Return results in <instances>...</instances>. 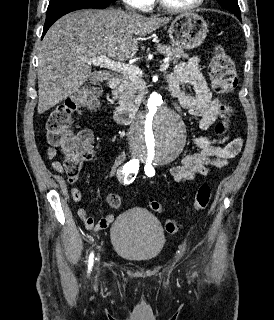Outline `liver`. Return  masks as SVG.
Listing matches in <instances>:
<instances>
[{"label": "liver", "mask_w": 274, "mask_h": 320, "mask_svg": "<svg viewBox=\"0 0 274 320\" xmlns=\"http://www.w3.org/2000/svg\"><path fill=\"white\" fill-rule=\"evenodd\" d=\"M171 18L134 16L118 8L78 10L60 18L49 28L38 50V114L47 112L77 92L89 78H95L82 58L108 56L131 60L143 38Z\"/></svg>", "instance_id": "6515ba94"}]
</instances>
